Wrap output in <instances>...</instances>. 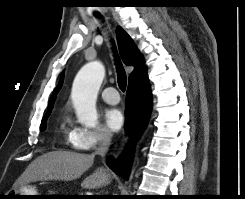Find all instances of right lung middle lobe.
<instances>
[{
  "label": "right lung middle lobe",
  "mask_w": 245,
  "mask_h": 199,
  "mask_svg": "<svg viewBox=\"0 0 245 199\" xmlns=\"http://www.w3.org/2000/svg\"><path fill=\"white\" fill-rule=\"evenodd\" d=\"M48 117H49V115L43 117V119H42V122H41V130L42 131L45 130L46 120H47Z\"/></svg>",
  "instance_id": "right-lung-middle-lobe-1"
}]
</instances>
